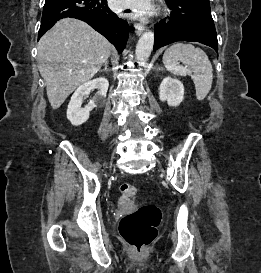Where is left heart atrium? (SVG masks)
<instances>
[{
  "label": "left heart atrium",
  "mask_w": 261,
  "mask_h": 273,
  "mask_svg": "<svg viewBox=\"0 0 261 273\" xmlns=\"http://www.w3.org/2000/svg\"><path fill=\"white\" fill-rule=\"evenodd\" d=\"M111 7L116 11H127L133 17H145L152 13V0H110Z\"/></svg>",
  "instance_id": "obj_1"
}]
</instances>
